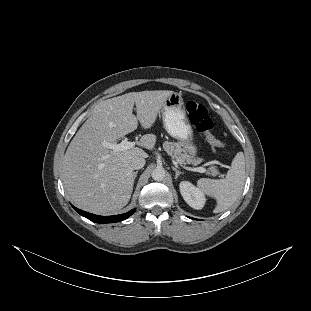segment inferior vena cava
Segmentation results:
<instances>
[{"instance_id":"602c4592","label":"inferior vena cava","mask_w":311,"mask_h":311,"mask_svg":"<svg viewBox=\"0 0 311 311\" xmlns=\"http://www.w3.org/2000/svg\"><path fill=\"white\" fill-rule=\"evenodd\" d=\"M145 165V159L142 157H135L131 161V167L135 170L143 168Z\"/></svg>"}]
</instances>
